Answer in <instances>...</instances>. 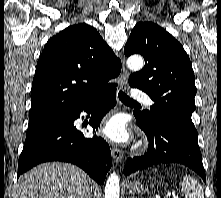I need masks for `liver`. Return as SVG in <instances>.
<instances>
[{"label": "liver", "instance_id": "liver-1", "mask_svg": "<svg viewBox=\"0 0 221 198\" xmlns=\"http://www.w3.org/2000/svg\"><path fill=\"white\" fill-rule=\"evenodd\" d=\"M91 178L61 162L38 165L18 181L12 198H90Z\"/></svg>", "mask_w": 221, "mask_h": 198}]
</instances>
